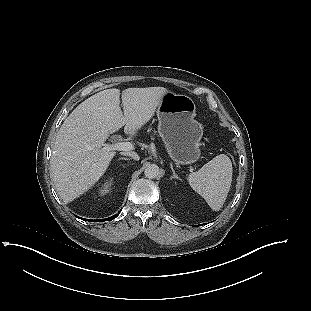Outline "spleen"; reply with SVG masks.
<instances>
[{
  "label": "spleen",
  "mask_w": 311,
  "mask_h": 311,
  "mask_svg": "<svg viewBox=\"0 0 311 311\" xmlns=\"http://www.w3.org/2000/svg\"><path fill=\"white\" fill-rule=\"evenodd\" d=\"M232 163L220 154L188 176L191 188L201 195L211 209L218 211L224 204L232 182Z\"/></svg>",
  "instance_id": "1"
}]
</instances>
